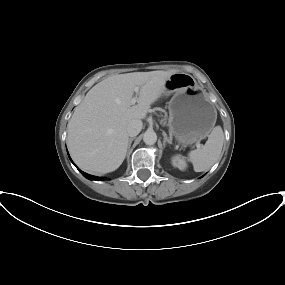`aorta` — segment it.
<instances>
[{"label":"aorta","mask_w":285,"mask_h":285,"mask_svg":"<svg viewBox=\"0 0 285 285\" xmlns=\"http://www.w3.org/2000/svg\"><path fill=\"white\" fill-rule=\"evenodd\" d=\"M143 141L147 145H153L157 141V135L154 131L148 130L144 133Z\"/></svg>","instance_id":"1"}]
</instances>
